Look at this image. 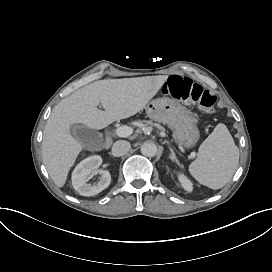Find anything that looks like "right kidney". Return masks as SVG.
<instances>
[{"label": "right kidney", "mask_w": 272, "mask_h": 272, "mask_svg": "<svg viewBox=\"0 0 272 272\" xmlns=\"http://www.w3.org/2000/svg\"><path fill=\"white\" fill-rule=\"evenodd\" d=\"M102 164L99 155L90 156L82 160L72 172V185L82 196H94L106 189L111 182V176L107 170H98ZM100 173L101 177L96 184H88L87 178L92 173Z\"/></svg>", "instance_id": "right-kidney-1"}]
</instances>
